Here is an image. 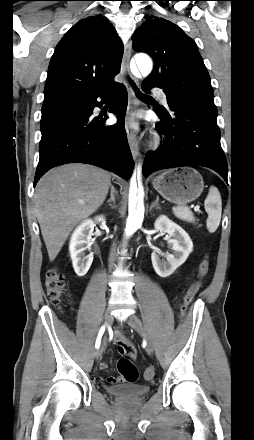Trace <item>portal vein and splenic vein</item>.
I'll return each instance as SVG.
<instances>
[{"instance_id":"portal-vein-and-splenic-vein-1","label":"portal vein and splenic vein","mask_w":254,"mask_h":440,"mask_svg":"<svg viewBox=\"0 0 254 440\" xmlns=\"http://www.w3.org/2000/svg\"><path fill=\"white\" fill-rule=\"evenodd\" d=\"M194 211H195V212H199V211H200L199 206H195V207H194Z\"/></svg>"}]
</instances>
